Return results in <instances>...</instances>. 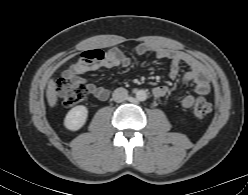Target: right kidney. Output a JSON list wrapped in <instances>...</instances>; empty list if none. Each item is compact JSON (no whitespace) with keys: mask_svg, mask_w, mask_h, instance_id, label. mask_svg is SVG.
Segmentation results:
<instances>
[{"mask_svg":"<svg viewBox=\"0 0 248 195\" xmlns=\"http://www.w3.org/2000/svg\"><path fill=\"white\" fill-rule=\"evenodd\" d=\"M87 117L88 109L83 105L76 106L67 113L64 125L71 131H77L85 124Z\"/></svg>","mask_w":248,"mask_h":195,"instance_id":"right-kidney-1","label":"right kidney"}]
</instances>
